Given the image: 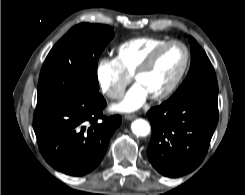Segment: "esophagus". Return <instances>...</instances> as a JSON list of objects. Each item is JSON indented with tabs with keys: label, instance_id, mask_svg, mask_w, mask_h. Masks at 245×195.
I'll use <instances>...</instances> for the list:
<instances>
[{
	"label": "esophagus",
	"instance_id": "1",
	"mask_svg": "<svg viewBox=\"0 0 245 195\" xmlns=\"http://www.w3.org/2000/svg\"><path fill=\"white\" fill-rule=\"evenodd\" d=\"M124 118H125L126 120H133V119L136 118V115H135V114H126V115L124 116Z\"/></svg>",
	"mask_w": 245,
	"mask_h": 195
}]
</instances>
